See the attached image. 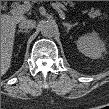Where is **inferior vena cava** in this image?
Returning a JSON list of instances; mask_svg holds the SVG:
<instances>
[{
  "label": "inferior vena cava",
  "instance_id": "obj_1",
  "mask_svg": "<svg viewBox=\"0 0 109 109\" xmlns=\"http://www.w3.org/2000/svg\"><path fill=\"white\" fill-rule=\"evenodd\" d=\"M36 22L30 19H24L20 22L19 28L22 29H32L35 26Z\"/></svg>",
  "mask_w": 109,
  "mask_h": 109
}]
</instances>
